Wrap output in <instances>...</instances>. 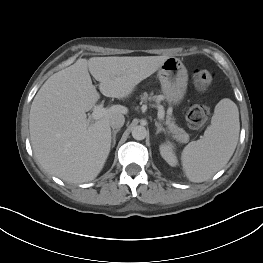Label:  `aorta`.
Wrapping results in <instances>:
<instances>
[{"label":"aorta","mask_w":263,"mask_h":263,"mask_svg":"<svg viewBox=\"0 0 263 263\" xmlns=\"http://www.w3.org/2000/svg\"><path fill=\"white\" fill-rule=\"evenodd\" d=\"M147 136V130L143 126H136L132 130V137L135 140H143Z\"/></svg>","instance_id":"1"}]
</instances>
